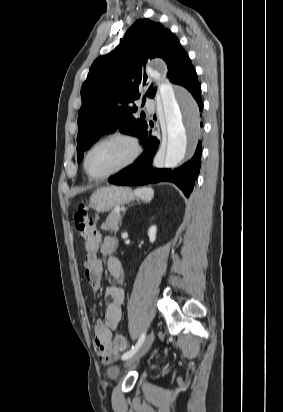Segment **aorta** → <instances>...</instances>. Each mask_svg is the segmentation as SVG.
<instances>
[{
  "label": "aorta",
  "mask_w": 283,
  "mask_h": 412,
  "mask_svg": "<svg viewBox=\"0 0 283 412\" xmlns=\"http://www.w3.org/2000/svg\"><path fill=\"white\" fill-rule=\"evenodd\" d=\"M147 74L158 82L166 131L164 167H175L186 155L198 135V107L186 90L176 92L161 74L148 68Z\"/></svg>",
  "instance_id": "762f6f07"
}]
</instances>
